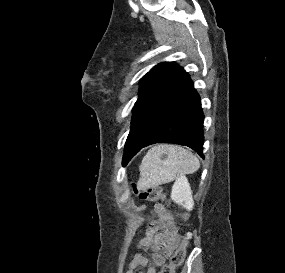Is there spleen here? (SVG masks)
I'll list each match as a JSON object with an SVG mask.
<instances>
[{
    "label": "spleen",
    "mask_w": 285,
    "mask_h": 273,
    "mask_svg": "<svg viewBox=\"0 0 285 273\" xmlns=\"http://www.w3.org/2000/svg\"><path fill=\"white\" fill-rule=\"evenodd\" d=\"M199 168L198 158L190 151L180 146L157 145L142 160L139 184L142 188L166 184L192 174Z\"/></svg>",
    "instance_id": "spleen-1"
}]
</instances>
